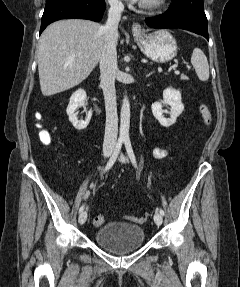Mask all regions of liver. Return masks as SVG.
Listing matches in <instances>:
<instances>
[{"label":"liver","instance_id":"obj_1","mask_svg":"<svg viewBox=\"0 0 240 287\" xmlns=\"http://www.w3.org/2000/svg\"><path fill=\"white\" fill-rule=\"evenodd\" d=\"M104 45L102 26L83 19L49 25L37 51L41 92L51 96L85 80L98 64Z\"/></svg>","mask_w":240,"mask_h":287}]
</instances>
